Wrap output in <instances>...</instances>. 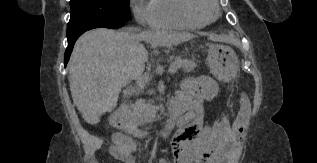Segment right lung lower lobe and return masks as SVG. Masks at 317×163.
Masks as SVG:
<instances>
[{
  "label": "right lung lower lobe",
  "mask_w": 317,
  "mask_h": 163,
  "mask_svg": "<svg viewBox=\"0 0 317 163\" xmlns=\"http://www.w3.org/2000/svg\"><path fill=\"white\" fill-rule=\"evenodd\" d=\"M125 24L123 22H101V23H98V24H95L87 29H84L78 33H75L71 36L68 37V47L66 49V52H65V57H64V65L66 67L68 61H69V58H70V54L72 52V49H73V46H74V43L75 41L78 39V37L83 34L85 31L87 30H90V29H94V28H98V27H106V28H112V29H117V28H120V27H123Z\"/></svg>",
  "instance_id": "1"
}]
</instances>
